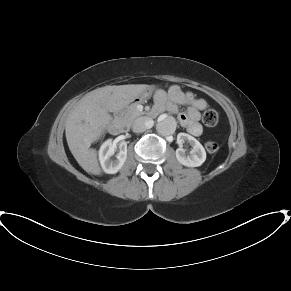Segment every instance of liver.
Returning a JSON list of instances; mask_svg holds the SVG:
<instances>
[{
  "instance_id": "obj_1",
  "label": "liver",
  "mask_w": 291,
  "mask_h": 291,
  "mask_svg": "<svg viewBox=\"0 0 291 291\" xmlns=\"http://www.w3.org/2000/svg\"><path fill=\"white\" fill-rule=\"evenodd\" d=\"M149 86L131 84L105 86L86 94L70 111L65 134L68 147L78 164L92 175H101L97 152L91 149L93 142L106 132L117 111L140 96Z\"/></svg>"
}]
</instances>
